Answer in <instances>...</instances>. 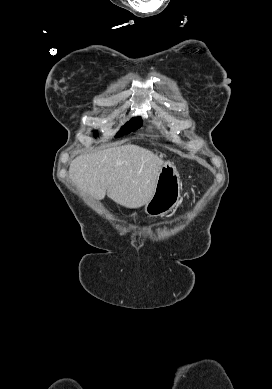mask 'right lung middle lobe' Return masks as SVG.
<instances>
[{
    "instance_id": "dd1d6c3e",
    "label": "right lung middle lobe",
    "mask_w": 272,
    "mask_h": 389,
    "mask_svg": "<svg viewBox=\"0 0 272 389\" xmlns=\"http://www.w3.org/2000/svg\"><path fill=\"white\" fill-rule=\"evenodd\" d=\"M141 126V121L138 118H132L131 121L126 123L120 131L116 134V138L129 134L131 131H134L136 128Z\"/></svg>"
}]
</instances>
